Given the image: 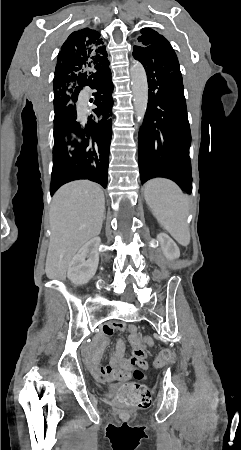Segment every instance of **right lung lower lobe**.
<instances>
[{
  "instance_id": "1",
  "label": "right lung lower lobe",
  "mask_w": 241,
  "mask_h": 450,
  "mask_svg": "<svg viewBox=\"0 0 241 450\" xmlns=\"http://www.w3.org/2000/svg\"><path fill=\"white\" fill-rule=\"evenodd\" d=\"M109 62L93 70L70 78L72 92L67 98L77 101L79 92L85 86L97 89L93 109L103 119L95 122L89 120L86 126L77 120L76 106L65 110L54 121V132L61 137L55 139L53 148V169L51 178V195L63 184L88 179L107 186L108 159L112 136L111 115L113 83ZM66 137L71 138L70 140Z\"/></svg>"
}]
</instances>
